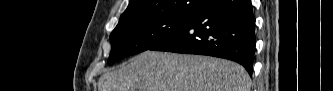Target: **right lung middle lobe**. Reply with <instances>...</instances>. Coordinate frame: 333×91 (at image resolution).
I'll return each mask as SVG.
<instances>
[{
    "instance_id": "obj_1",
    "label": "right lung middle lobe",
    "mask_w": 333,
    "mask_h": 91,
    "mask_svg": "<svg viewBox=\"0 0 333 91\" xmlns=\"http://www.w3.org/2000/svg\"><path fill=\"white\" fill-rule=\"evenodd\" d=\"M214 0L199 5L206 8ZM203 8V9H204ZM195 15L158 14L128 20L116 26L110 34L111 65L124 57L150 50L184 27Z\"/></svg>"
}]
</instances>
